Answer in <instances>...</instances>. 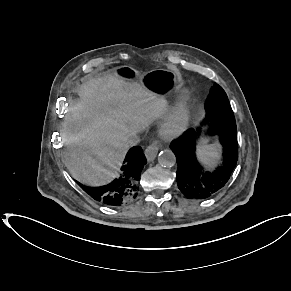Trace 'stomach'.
<instances>
[{"mask_svg": "<svg viewBox=\"0 0 291 291\" xmlns=\"http://www.w3.org/2000/svg\"><path fill=\"white\" fill-rule=\"evenodd\" d=\"M120 76L128 80H138L147 90L159 96H172L180 91V75L177 71L154 69L149 72H139L130 67L116 69ZM206 142L202 140V144Z\"/></svg>", "mask_w": 291, "mask_h": 291, "instance_id": "1", "label": "stomach"}]
</instances>
